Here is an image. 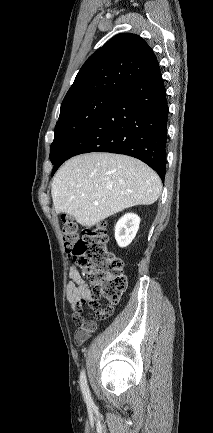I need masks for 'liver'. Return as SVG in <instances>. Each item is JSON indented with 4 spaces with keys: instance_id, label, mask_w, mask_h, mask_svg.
Here are the masks:
<instances>
[{
    "instance_id": "obj_1",
    "label": "liver",
    "mask_w": 213,
    "mask_h": 433,
    "mask_svg": "<svg viewBox=\"0 0 213 433\" xmlns=\"http://www.w3.org/2000/svg\"><path fill=\"white\" fill-rule=\"evenodd\" d=\"M162 183L142 161L113 153H90L68 160L52 182V199L58 213L68 214L91 227L136 205H151Z\"/></svg>"
}]
</instances>
